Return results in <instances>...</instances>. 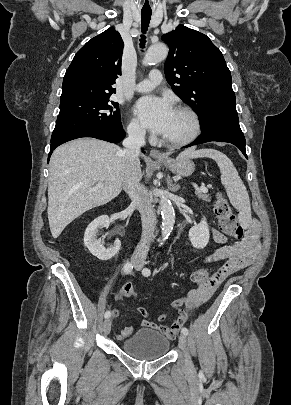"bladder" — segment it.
Instances as JSON below:
<instances>
[{"label": "bladder", "mask_w": 291, "mask_h": 405, "mask_svg": "<svg viewBox=\"0 0 291 405\" xmlns=\"http://www.w3.org/2000/svg\"><path fill=\"white\" fill-rule=\"evenodd\" d=\"M168 338L159 331L142 328L123 340L120 349L127 355L144 361L163 357L169 350Z\"/></svg>", "instance_id": "obj_1"}]
</instances>
